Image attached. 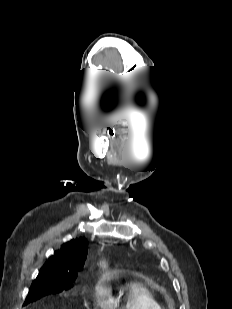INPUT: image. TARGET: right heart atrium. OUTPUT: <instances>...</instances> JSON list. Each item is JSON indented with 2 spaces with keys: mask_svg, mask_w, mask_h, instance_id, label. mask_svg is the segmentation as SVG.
<instances>
[{
  "mask_svg": "<svg viewBox=\"0 0 232 309\" xmlns=\"http://www.w3.org/2000/svg\"><path fill=\"white\" fill-rule=\"evenodd\" d=\"M95 294L98 299H102L106 295V290L102 286H97L95 289Z\"/></svg>",
  "mask_w": 232,
  "mask_h": 309,
  "instance_id": "obj_1",
  "label": "right heart atrium"
}]
</instances>
